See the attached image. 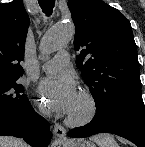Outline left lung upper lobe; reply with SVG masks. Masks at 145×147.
Returning a JSON list of instances; mask_svg holds the SVG:
<instances>
[{"label":"left lung upper lobe","mask_w":145,"mask_h":147,"mask_svg":"<svg viewBox=\"0 0 145 147\" xmlns=\"http://www.w3.org/2000/svg\"><path fill=\"white\" fill-rule=\"evenodd\" d=\"M76 64L95 100L99 120L142 100L136 43L129 20L100 0H69Z\"/></svg>","instance_id":"5c2ea615"}]
</instances>
